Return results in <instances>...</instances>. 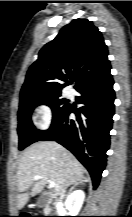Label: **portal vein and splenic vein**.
<instances>
[{"label":"portal vein and splenic vein","mask_w":132,"mask_h":217,"mask_svg":"<svg viewBox=\"0 0 132 217\" xmlns=\"http://www.w3.org/2000/svg\"><path fill=\"white\" fill-rule=\"evenodd\" d=\"M40 178H46V177L41 176V175H36L35 176V179H40ZM46 179H48V178H46ZM48 182H49V187L50 188H54L55 187V182L54 181L48 179Z\"/></svg>","instance_id":"1"}]
</instances>
